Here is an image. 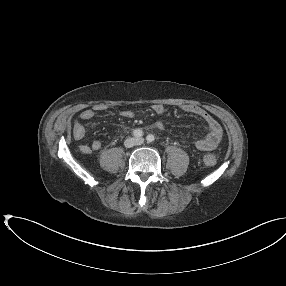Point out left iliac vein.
<instances>
[{"label":"left iliac vein","mask_w":286,"mask_h":286,"mask_svg":"<svg viewBox=\"0 0 286 286\" xmlns=\"http://www.w3.org/2000/svg\"><path fill=\"white\" fill-rule=\"evenodd\" d=\"M143 143H144V139L143 138L136 139V144L137 145H142Z\"/></svg>","instance_id":"left-iliac-vein-1"}]
</instances>
